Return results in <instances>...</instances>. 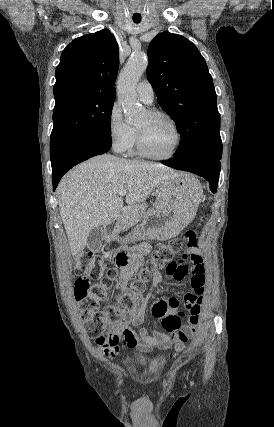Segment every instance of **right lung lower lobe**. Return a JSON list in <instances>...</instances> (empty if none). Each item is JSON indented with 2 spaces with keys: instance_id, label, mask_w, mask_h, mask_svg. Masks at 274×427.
<instances>
[{
  "instance_id": "obj_1",
  "label": "right lung lower lobe",
  "mask_w": 274,
  "mask_h": 427,
  "mask_svg": "<svg viewBox=\"0 0 274 427\" xmlns=\"http://www.w3.org/2000/svg\"><path fill=\"white\" fill-rule=\"evenodd\" d=\"M110 148L111 139L108 138H88L66 148L51 161L53 191L56 189L61 177L69 169L90 157L106 153Z\"/></svg>"
}]
</instances>
